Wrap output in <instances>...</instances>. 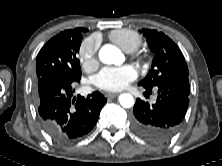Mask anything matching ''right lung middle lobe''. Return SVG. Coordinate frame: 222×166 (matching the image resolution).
<instances>
[{
  "label": "right lung middle lobe",
  "mask_w": 222,
  "mask_h": 166,
  "mask_svg": "<svg viewBox=\"0 0 222 166\" xmlns=\"http://www.w3.org/2000/svg\"><path fill=\"white\" fill-rule=\"evenodd\" d=\"M80 28L65 30L51 38L36 57V76L48 72H64L72 78H81L80 62L77 53L82 42Z\"/></svg>",
  "instance_id": "right-lung-middle-lobe-1"
}]
</instances>
